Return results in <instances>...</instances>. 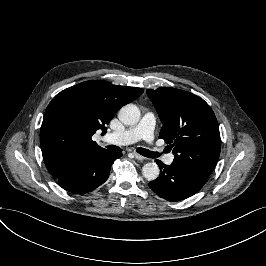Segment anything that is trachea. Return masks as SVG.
Masks as SVG:
<instances>
[{"instance_id":"1","label":"trachea","mask_w":266,"mask_h":266,"mask_svg":"<svg viewBox=\"0 0 266 266\" xmlns=\"http://www.w3.org/2000/svg\"><path fill=\"white\" fill-rule=\"evenodd\" d=\"M108 149L110 150H114V151H122V149L118 146H115V145H108L106 146ZM136 151L143 155L144 157H148V158H157L158 155L156 153H153L151 152L150 150L148 149H144V148H137Z\"/></svg>"}]
</instances>
